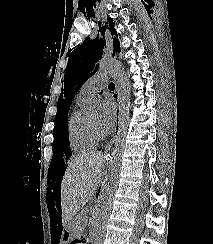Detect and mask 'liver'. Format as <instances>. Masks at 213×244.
Listing matches in <instances>:
<instances>
[{
	"label": "liver",
	"instance_id": "6515ba94",
	"mask_svg": "<svg viewBox=\"0 0 213 244\" xmlns=\"http://www.w3.org/2000/svg\"><path fill=\"white\" fill-rule=\"evenodd\" d=\"M103 164L104 155L100 152L80 154L68 164L61 183V207L69 230L73 216L98 187Z\"/></svg>",
	"mask_w": 213,
	"mask_h": 244
}]
</instances>
